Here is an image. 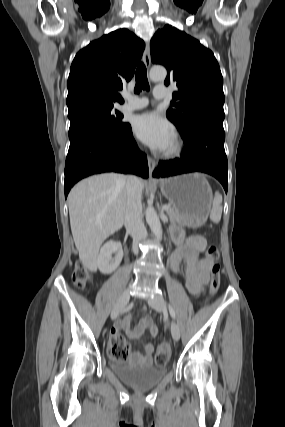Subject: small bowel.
Here are the masks:
<instances>
[{
    "mask_svg": "<svg viewBox=\"0 0 285 427\" xmlns=\"http://www.w3.org/2000/svg\"><path fill=\"white\" fill-rule=\"evenodd\" d=\"M174 236L180 244L171 256V269L174 273H177L180 264L183 262L185 264V281L188 290L192 294H200L208 281L209 270L212 264L209 258L200 257V254L206 247V241L203 237L197 235L183 240L182 234L179 231H175ZM132 318L133 315L128 313L115 324L110 333V345L112 339L123 338L121 335L122 332H124L128 338L135 340H140L145 332H148L153 337L158 334L159 328L153 323L151 317H143L134 328L130 326ZM142 346L143 353L139 351L129 353L126 362L134 364L151 363L152 355L155 350L154 346L150 343H142Z\"/></svg>",
    "mask_w": 285,
    "mask_h": 427,
    "instance_id": "small-bowel-1",
    "label": "small bowel"
}]
</instances>
